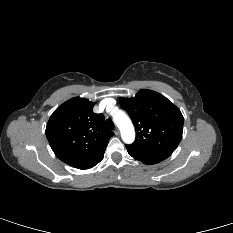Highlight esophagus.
I'll return each instance as SVG.
<instances>
[{
    "label": "esophagus",
    "mask_w": 233,
    "mask_h": 233,
    "mask_svg": "<svg viewBox=\"0 0 233 233\" xmlns=\"http://www.w3.org/2000/svg\"><path fill=\"white\" fill-rule=\"evenodd\" d=\"M114 133H115V135H119L120 134V131H119V129L118 128H116L115 130H114Z\"/></svg>",
    "instance_id": "esophagus-1"
}]
</instances>
